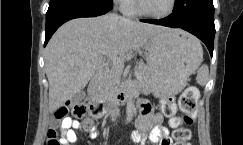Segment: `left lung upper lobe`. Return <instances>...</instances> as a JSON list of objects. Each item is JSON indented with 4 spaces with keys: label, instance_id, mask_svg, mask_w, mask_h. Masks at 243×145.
<instances>
[{
    "label": "left lung upper lobe",
    "instance_id": "5c2ea615",
    "mask_svg": "<svg viewBox=\"0 0 243 145\" xmlns=\"http://www.w3.org/2000/svg\"><path fill=\"white\" fill-rule=\"evenodd\" d=\"M173 11H177L190 22L201 25H214L212 0H175Z\"/></svg>",
    "mask_w": 243,
    "mask_h": 145
}]
</instances>
